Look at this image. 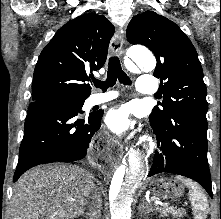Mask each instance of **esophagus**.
Segmentation results:
<instances>
[{
    "label": "esophagus",
    "mask_w": 221,
    "mask_h": 219,
    "mask_svg": "<svg viewBox=\"0 0 221 219\" xmlns=\"http://www.w3.org/2000/svg\"><path fill=\"white\" fill-rule=\"evenodd\" d=\"M124 44L123 35L119 32L115 33L110 42V52L115 55H122V49Z\"/></svg>",
    "instance_id": "esophagus-1"
}]
</instances>
